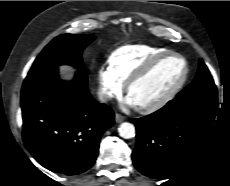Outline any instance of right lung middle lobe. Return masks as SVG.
<instances>
[{
    "instance_id": "1",
    "label": "right lung middle lobe",
    "mask_w": 230,
    "mask_h": 186,
    "mask_svg": "<svg viewBox=\"0 0 230 186\" xmlns=\"http://www.w3.org/2000/svg\"><path fill=\"white\" fill-rule=\"evenodd\" d=\"M94 39L93 35L85 34H63L57 36L38 55L28 76L56 69L63 64L81 69V53Z\"/></svg>"
}]
</instances>
